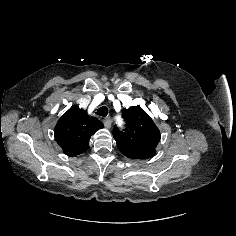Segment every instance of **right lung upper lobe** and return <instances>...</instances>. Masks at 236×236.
<instances>
[{
  "label": "right lung upper lobe",
  "mask_w": 236,
  "mask_h": 236,
  "mask_svg": "<svg viewBox=\"0 0 236 236\" xmlns=\"http://www.w3.org/2000/svg\"><path fill=\"white\" fill-rule=\"evenodd\" d=\"M103 127L97 118L72 106L58 120L54 131L55 140L66 155L76 156L87 150L90 137Z\"/></svg>",
  "instance_id": "obj_1"
}]
</instances>
